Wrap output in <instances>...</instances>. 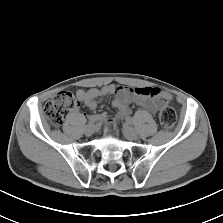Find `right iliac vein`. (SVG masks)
<instances>
[{
  "label": "right iliac vein",
  "mask_w": 223,
  "mask_h": 223,
  "mask_svg": "<svg viewBox=\"0 0 223 223\" xmlns=\"http://www.w3.org/2000/svg\"><path fill=\"white\" fill-rule=\"evenodd\" d=\"M95 132V125L94 124H88L85 127V134L87 136H91Z\"/></svg>",
  "instance_id": "right-iliac-vein-1"
}]
</instances>
